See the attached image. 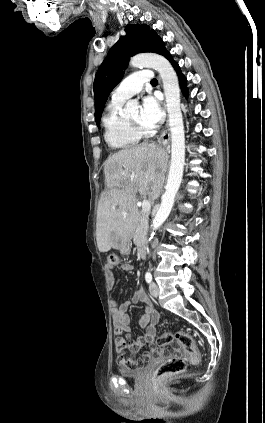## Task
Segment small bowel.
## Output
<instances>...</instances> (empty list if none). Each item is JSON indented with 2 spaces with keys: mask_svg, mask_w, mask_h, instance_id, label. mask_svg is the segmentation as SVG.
Returning <instances> with one entry per match:
<instances>
[{
  "mask_svg": "<svg viewBox=\"0 0 265 423\" xmlns=\"http://www.w3.org/2000/svg\"><path fill=\"white\" fill-rule=\"evenodd\" d=\"M114 266L108 264L106 277L107 283L110 289L114 287V279L111 270ZM121 268L125 271L132 270V266L127 263L121 264ZM137 302H141L144 306V314L140 319V326L144 328V334L136 339H133L126 343L123 338L116 339V347L120 348L121 344L125 345V349L128 348L132 353H137L143 348H147L143 353V360L150 359L156 354L155 349V336H156V324L159 320V313L154 309L148 296L142 291L138 290L130 300L123 301L118 304L117 299L112 298L110 303L113 307V324L118 335L125 333L129 335L131 333L130 318L127 314L129 307ZM126 357H120L119 363L123 364ZM139 364V362H137Z\"/></svg>",
  "mask_w": 265,
  "mask_h": 423,
  "instance_id": "obj_1",
  "label": "small bowel"
}]
</instances>
